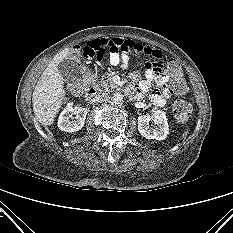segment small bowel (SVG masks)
Masks as SVG:
<instances>
[{
    "label": "small bowel",
    "mask_w": 233,
    "mask_h": 233,
    "mask_svg": "<svg viewBox=\"0 0 233 233\" xmlns=\"http://www.w3.org/2000/svg\"><path fill=\"white\" fill-rule=\"evenodd\" d=\"M80 52L88 61L94 58L102 59L108 54L110 62L122 68L127 66L132 55L145 54L152 57L154 58L153 62L145 63V75L143 78L140 79V75L136 72L130 74V79L136 83L130 92L136 97H142L155 84V88L150 94V100L156 106H164L167 100L174 94L167 86L169 74L162 72L164 54L159 49L121 38H98L90 40L80 47Z\"/></svg>",
    "instance_id": "1"
}]
</instances>
